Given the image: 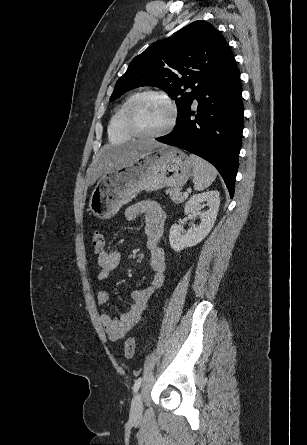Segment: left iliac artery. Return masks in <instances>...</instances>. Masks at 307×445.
Masks as SVG:
<instances>
[{
  "label": "left iliac artery",
  "instance_id": "obj_1",
  "mask_svg": "<svg viewBox=\"0 0 307 445\" xmlns=\"http://www.w3.org/2000/svg\"><path fill=\"white\" fill-rule=\"evenodd\" d=\"M141 382H142V378H141V377L138 378V379L135 381V384H134V386H133V392H134V393H136V392L139 390L140 385H141Z\"/></svg>",
  "mask_w": 307,
  "mask_h": 445
}]
</instances>
